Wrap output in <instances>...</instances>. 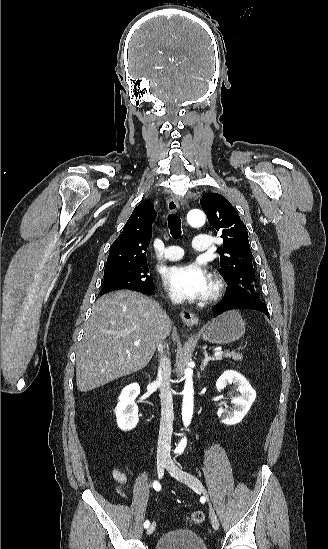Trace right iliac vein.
Instances as JSON below:
<instances>
[{"mask_svg": "<svg viewBox=\"0 0 328 549\" xmlns=\"http://www.w3.org/2000/svg\"><path fill=\"white\" fill-rule=\"evenodd\" d=\"M166 465H167V464L165 463V460L159 461L158 464H157V472H158V476H159L160 478H162L163 475H164V471H165ZM155 527H156V523L153 522V523L148 527V529H147V534H149V535L152 534V533L154 532V530H155Z\"/></svg>", "mask_w": 328, "mask_h": 549, "instance_id": "63e3f726", "label": "right iliac vein"}]
</instances>
